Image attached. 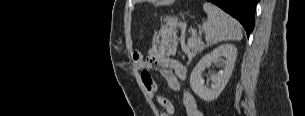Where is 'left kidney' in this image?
I'll use <instances>...</instances> for the list:
<instances>
[{"instance_id": "5707ae66", "label": "left kidney", "mask_w": 305, "mask_h": 116, "mask_svg": "<svg viewBox=\"0 0 305 116\" xmlns=\"http://www.w3.org/2000/svg\"><path fill=\"white\" fill-rule=\"evenodd\" d=\"M237 54V48L233 44H223L202 57L190 76V86L193 92L206 102H211L216 99L231 77ZM222 56L226 58V60L221 63L224 68L217 74L211 76V87H207L204 85V80L201 77L202 72L206 67H209L212 62H217Z\"/></svg>"}]
</instances>
